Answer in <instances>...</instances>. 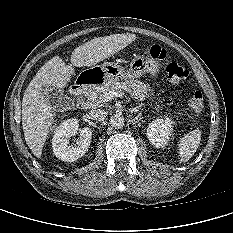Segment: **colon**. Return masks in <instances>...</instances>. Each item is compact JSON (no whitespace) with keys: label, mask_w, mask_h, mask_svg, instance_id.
Here are the masks:
<instances>
[{"label":"colon","mask_w":233,"mask_h":233,"mask_svg":"<svg viewBox=\"0 0 233 233\" xmlns=\"http://www.w3.org/2000/svg\"><path fill=\"white\" fill-rule=\"evenodd\" d=\"M145 50L151 57L156 59H165L167 55L166 50L159 45H152ZM165 73L167 80L173 84L186 82L190 78L189 72L184 66L172 61L166 63ZM203 107V94L199 89H195L189 98L188 108L193 114L198 115L203 110Z\"/></svg>","instance_id":"colon-1"}]
</instances>
